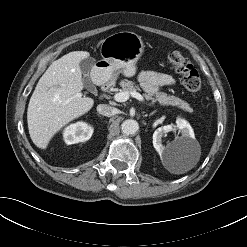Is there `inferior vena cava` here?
Returning <instances> with one entry per match:
<instances>
[{"mask_svg": "<svg viewBox=\"0 0 247 247\" xmlns=\"http://www.w3.org/2000/svg\"><path fill=\"white\" fill-rule=\"evenodd\" d=\"M97 111L99 114L110 117L117 113V109L107 104H99L97 106Z\"/></svg>", "mask_w": 247, "mask_h": 247, "instance_id": "1", "label": "inferior vena cava"}]
</instances>
